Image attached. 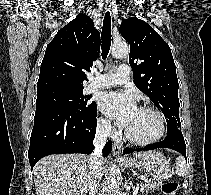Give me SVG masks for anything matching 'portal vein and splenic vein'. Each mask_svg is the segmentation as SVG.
<instances>
[{
    "label": "portal vein and splenic vein",
    "instance_id": "18ae733b",
    "mask_svg": "<svg viewBox=\"0 0 211 195\" xmlns=\"http://www.w3.org/2000/svg\"><path fill=\"white\" fill-rule=\"evenodd\" d=\"M139 189H140V185H137V186L133 189V195H136Z\"/></svg>",
    "mask_w": 211,
    "mask_h": 195
}]
</instances>
